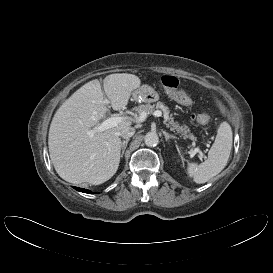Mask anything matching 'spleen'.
<instances>
[{
    "label": "spleen",
    "mask_w": 273,
    "mask_h": 273,
    "mask_svg": "<svg viewBox=\"0 0 273 273\" xmlns=\"http://www.w3.org/2000/svg\"><path fill=\"white\" fill-rule=\"evenodd\" d=\"M233 134L230 125L222 122L218 128L215 142L208 152V158L201 164L189 163L187 172L193 180L205 183L219 174L227 165L232 149Z\"/></svg>",
    "instance_id": "1"
}]
</instances>
